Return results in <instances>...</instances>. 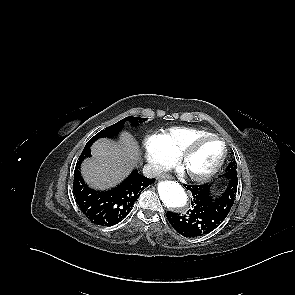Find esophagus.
<instances>
[{
    "label": "esophagus",
    "instance_id": "obj_1",
    "mask_svg": "<svg viewBox=\"0 0 295 295\" xmlns=\"http://www.w3.org/2000/svg\"><path fill=\"white\" fill-rule=\"evenodd\" d=\"M171 178V176H169V175H167V174H162L161 176H160V179H170Z\"/></svg>",
    "mask_w": 295,
    "mask_h": 295
}]
</instances>
